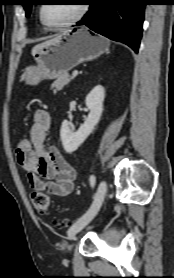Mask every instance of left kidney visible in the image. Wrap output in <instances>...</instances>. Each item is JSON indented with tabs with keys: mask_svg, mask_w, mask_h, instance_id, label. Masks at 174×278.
<instances>
[{
	"mask_svg": "<svg viewBox=\"0 0 174 278\" xmlns=\"http://www.w3.org/2000/svg\"><path fill=\"white\" fill-rule=\"evenodd\" d=\"M105 90L101 85L95 86L85 99L86 106L90 110L88 117L80 128L73 132L67 120L62 122L60 137L66 152L72 153L87 139L98 124L102 112Z\"/></svg>",
	"mask_w": 174,
	"mask_h": 278,
	"instance_id": "obj_1",
	"label": "left kidney"
}]
</instances>
